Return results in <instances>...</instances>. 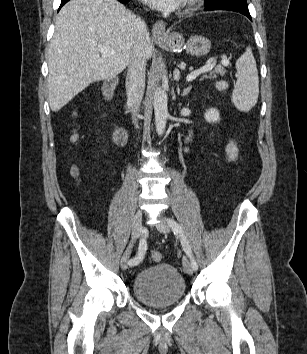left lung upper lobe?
I'll use <instances>...</instances> for the list:
<instances>
[{"instance_id": "1", "label": "left lung upper lobe", "mask_w": 307, "mask_h": 354, "mask_svg": "<svg viewBox=\"0 0 307 354\" xmlns=\"http://www.w3.org/2000/svg\"><path fill=\"white\" fill-rule=\"evenodd\" d=\"M217 4L247 5L246 0H205L204 5L212 6Z\"/></svg>"}]
</instances>
